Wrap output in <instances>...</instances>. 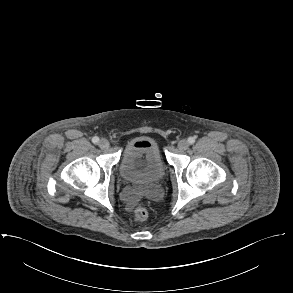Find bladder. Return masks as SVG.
<instances>
[{
	"label": "bladder",
	"mask_w": 293,
	"mask_h": 293,
	"mask_svg": "<svg viewBox=\"0 0 293 293\" xmlns=\"http://www.w3.org/2000/svg\"><path fill=\"white\" fill-rule=\"evenodd\" d=\"M120 175L133 186L151 188L165 175V164L158 145L143 140L127 145L120 161Z\"/></svg>",
	"instance_id": "1"
}]
</instances>
